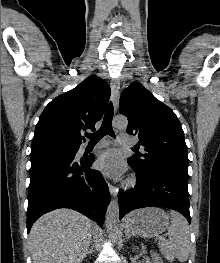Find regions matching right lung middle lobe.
Masks as SVG:
<instances>
[{"label":"right lung middle lobe","mask_w":220,"mask_h":263,"mask_svg":"<svg viewBox=\"0 0 220 263\" xmlns=\"http://www.w3.org/2000/svg\"><path fill=\"white\" fill-rule=\"evenodd\" d=\"M61 153H65V154H75L76 153V149H65V150H58Z\"/></svg>","instance_id":"obj_1"}]
</instances>
